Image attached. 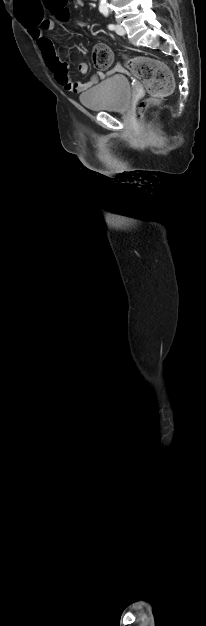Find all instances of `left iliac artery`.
<instances>
[{"mask_svg": "<svg viewBox=\"0 0 206 626\" xmlns=\"http://www.w3.org/2000/svg\"><path fill=\"white\" fill-rule=\"evenodd\" d=\"M104 14V16H108V11L102 12ZM108 29L109 30H114L115 29V25L114 24H109L108 25Z\"/></svg>", "mask_w": 206, "mask_h": 626, "instance_id": "1", "label": "left iliac artery"}]
</instances>
